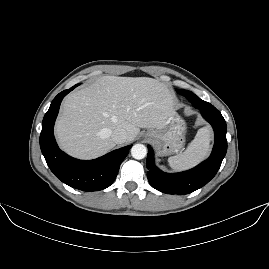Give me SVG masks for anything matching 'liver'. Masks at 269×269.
I'll use <instances>...</instances> for the list:
<instances>
[{
  "label": "liver",
  "instance_id": "obj_1",
  "mask_svg": "<svg viewBox=\"0 0 269 269\" xmlns=\"http://www.w3.org/2000/svg\"><path fill=\"white\" fill-rule=\"evenodd\" d=\"M175 109L174 93L156 79L102 76L65 97L55 135L69 155L93 159L115 147V129L126 130L129 143L140 128L162 129Z\"/></svg>",
  "mask_w": 269,
  "mask_h": 269
}]
</instances>
